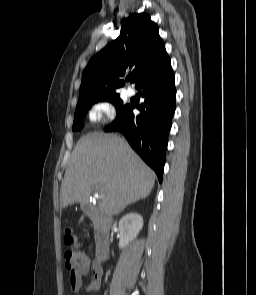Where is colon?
Returning <instances> with one entry per match:
<instances>
[{"mask_svg": "<svg viewBox=\"0 0 256 295\" xmlns=\"http://www.w3.org/2000/svg\"><path fill=\"white\" fill-rule=\"evenodd\" d=\"M64 242L68 246L65 252L66 268L76 270L87 261V258L83 252L76 249L77 237L70 229L65 232Z\"/></svg>", "mask_w": 256, "mask_h": 295, "instance_id": "1", "label": "colon"}]
</instances>
